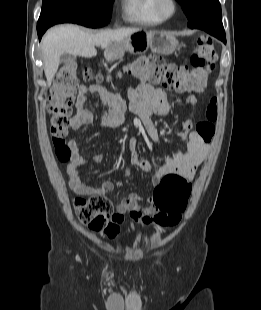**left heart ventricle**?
Instances as JSON below:
<instances>
[{
  "label": "left heart ventricle",
  "mask_w": 261,
  "mask_h": 310,
  "mask_svg": "<svg viewBox=\"0 0 261 310\" xmlns=\"http://www.w3.org/2000/svg\"><path fill=\"white\" fill-rule=\"evenodd\" d=\"M163 10H164L166 13L170 12V10H171L170 4H169V3H164V4H163Z\"/></svg>",
  "instance_id": "left-heart-ventricle-1"
}]
</instances>
